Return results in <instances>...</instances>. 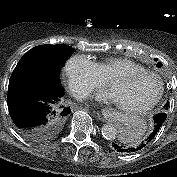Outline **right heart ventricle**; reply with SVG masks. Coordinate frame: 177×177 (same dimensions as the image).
Listing matches in <instances>:
<instances>
[{
  "label": "right heart ventricle",
  "mask_w": 177,
  "mask_h": 177,
  "mask_svg": "<svg viewBox=\"0 0 177 177\" xmlns=\"http://www.w3.org/2000/svg\"><path fill=\"white\" fill-rule=\"evenodd\" d=\"M96 65L105 80H109L119 73L131 70H145L141 64L128 58H109L96 62Z\"/></svg>",
  "instance_id": "obj_1"
}]
</instances>
